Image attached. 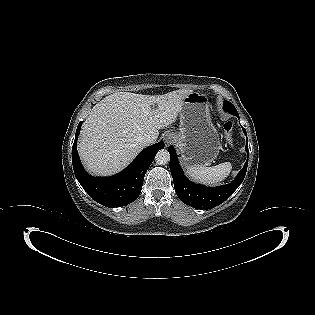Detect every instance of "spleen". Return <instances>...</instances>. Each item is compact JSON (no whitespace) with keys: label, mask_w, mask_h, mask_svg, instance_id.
I'll return each instance as SVG.
<instances>
[{"label":"spleen","mask_w":315,"mask_h":315,"mask_svg":"<svg viewBox=\"0 0 315 315\" xmlns=\"http://www.w3.org/2000/svg\"><path fill=\"white\" fill-rule=\"evenodd\" d=\"M230 162H224L215 166L191 165L187 168V174L195 181L214 185L224 180L231 172Z\"/></svg>","instance_id":"obj_1"}]
</instances>
